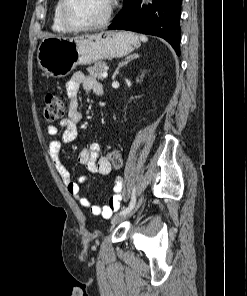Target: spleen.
Wrapping results in <instances>:
<instances>
[{"instance_id":"1","label":"spleen","mask_w":247,"mask_h":296,"mask_svg":"<svg viewBox=\"0 0 247 296\" xmlns=\"http://www.w3.org/2000/svg\"><path fill=\"white\" fill-rule=\"evenodd\" d=\"M139 38L142 42H147L148 38L145 35H139Z\"/></svg>"}]
</instances>
